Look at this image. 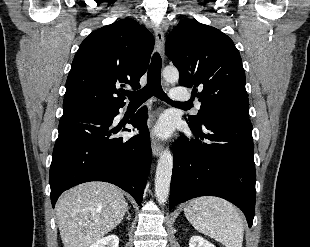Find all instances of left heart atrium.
<instances>
[{
  "instance_id": "39dd6f15",
  "label": "left heart atrium",
  "mask_w": 310,
  "mask_h": 247,
  "mask_svg": "<svg viewBox=\"0 0 310 247\" xmlns=\"http://www.w3.org/2000/svg\"><path fill=\"white\" fill-rule=\"evenodd\" d=\"M173 130L172 120L169 116L163 115L159 118L153 128V133L160 138H167Z\"/></svg>"
}]
</instances>
